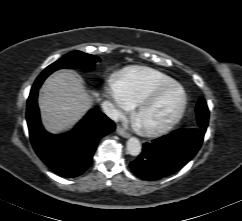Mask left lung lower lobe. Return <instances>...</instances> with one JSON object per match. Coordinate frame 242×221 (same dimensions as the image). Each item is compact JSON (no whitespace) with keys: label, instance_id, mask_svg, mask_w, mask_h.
Listing matches in <instances>:
<instances>
[{"label":"left lung lower lobe","instance_id":"obj_1","mask_svg":"<svg viewBox=\"0 0 242 221\" xmlns=\"http://www.w3.org/2000/svg\"><path fill=\"white\" fill-rule=\"evenodd\" d=\"M208 123L194 129H177L144 143L142 153L130 163L132 172L143 180L166 177L187 164L199 151Z\"/></svg>","mask_w":242,"mask_h":221}]
</instances>
